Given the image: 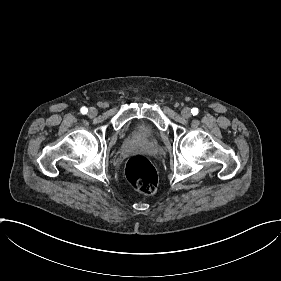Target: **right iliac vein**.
<instances>
[{
	"instance_id": "obj_1",
	"label": "right iliac vein",
	"mask_w": 281,
	"mask_h": 281,
	"mask_svg": "<svg viewBox=\"0 0 281 281\" xmlns=\"http://www.w3.org/2000/svg\"><path fill=\"white\" fill-rule=\"evenodd\" d=\"M88 113H89V115L94 117L97 115L98 112H97L96 108L91 107V108H89Z\"/></svg>"
}]
</instances>
